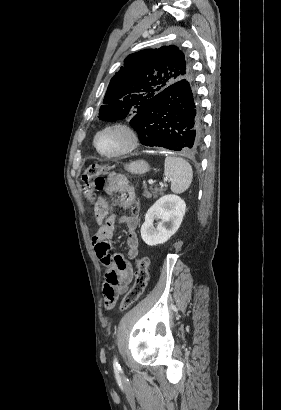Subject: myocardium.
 I'll return each instance as SVG.
<instances>
[{
    "instance_id": "f54148a6",
    "label": "myocardium",
    "mask_w": 281,
    "mask_h": 410,
    "mask_svg": "<svg viewBox=\"0 0 281 410\" xmlns=\"http://www.w3.org/2000/svg\"><path fill=\"white\" fill-rule=\"evenodd\" d=\"M106 131H120L124 133L127 139L126 146L120 151H117L114 153H106V152L101 151L100 148L98 147L97 141H98V137L100 136V134ZM139 143H140V136H139L138 131L132 125L125 123V122H114V123L107 124L101 127L100 129H98L93 137V146L96 152L99 155L106 157V158H118V157L125 156L133 152L139 146Z\"/></svg>"
}]
</instances>
